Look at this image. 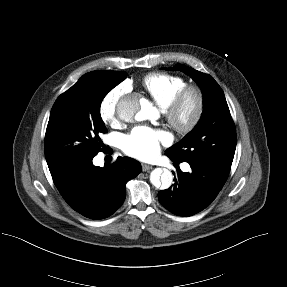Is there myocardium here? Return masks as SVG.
I'll use <instances>...</instances> for the list:
<instances>
[{
    "label": "myocardium",
    "mask_w": 287,
    "mask_h": 287,
    "mask_svg": "<svg viewBox=\"0 0 287 287\" xmlns=\"http://www.w3.org/2000/svg\"><path fill=\"white\" fill-rule=\"evenodd\" d=\"M192 102L193 110L187 117H183L186 105ZM205 108L203 92L198 86H184L164 108V115L168 123L180 134L193 131L202 119Z\"/></svg>",
    "instance_id": "myocardium-1"
}]
</instances>
